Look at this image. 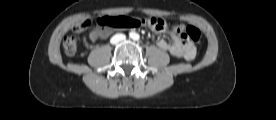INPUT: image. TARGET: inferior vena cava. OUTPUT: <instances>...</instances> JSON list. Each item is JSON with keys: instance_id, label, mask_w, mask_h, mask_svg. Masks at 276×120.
Returning <instances> with one entry per match:
<instances>
[{"instance_id": "obj_1", "label": "inferior vena cava", "mask_w": 276, "mask_h": 120, "mask_svg": "<svg viewBox=\"0 0 276 120\" xmlns=\"http://www.w3.org/2000/svg\"><path fill=\"white\" fill-rule=\"evenodd\" d=\"M125 38H126V36H125L124 34H115V35L111 38L110 42H111V44H117V43H119V42L125 40Z\"/></svg>"}]
</instances>
